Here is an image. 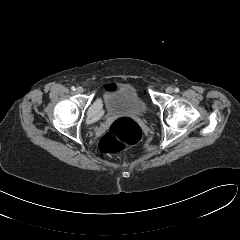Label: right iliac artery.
<instances>
[{
	"mask_svg": "<svg viewBox=\"0 0 240 240\" xmlns=\"http://www.w3.org/2000/svg\"><path fill=\"white\" fill-rule=\"evenodd\" d=\"M71 90H73V91H74V90H75V87H74V86H72V87H71Z\"/></svg>",
	"mask_w": 240,
	"mask_h": 240,
	"instance_id": "1",
	"label": "right iliac artery"
}]
</instances>
